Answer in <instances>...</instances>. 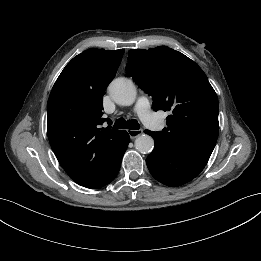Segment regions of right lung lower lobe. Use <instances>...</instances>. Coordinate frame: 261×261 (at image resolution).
<instances>
[{"instance_id":"right-lung-lower-lobe-1","label":"right lung lower lobe","mask_w":261,"mask_h":261,"mask_svg":"<svg viewBox=\"0 0 261 261\" xmlns=\"http://www.w3.org/2000/svg\"><path fill=\"white\" fill-rule=\"evenodd\" d=\"M129 139V135L125 131L121 144L114 153L113 158L111 159L108 166L97 177L85 182L82 184V186L96 189L103 187L113 181L119 172L121 160L128 147Z\"/></svg>"}]
</instances>
